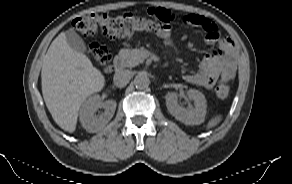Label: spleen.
<instances>
[{"mask_svg": "<svg viewBox=\"0 0 292 184\" xmlns=\"http://www.w3.org/2000/svg\"><path fill=\"white\" fill-rule=\"evenodd\" d=\"M222 120V116L221 115H217L214 118H212L208 124H207V129L213 128L216 125H218L220 123V121Z\"/></svg>", "mask_w": 292, "mask_h": 184, "instance_id": "1", "label": "spleen"}]
</instances>
